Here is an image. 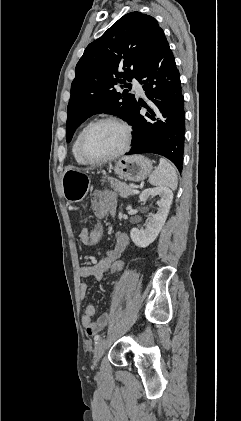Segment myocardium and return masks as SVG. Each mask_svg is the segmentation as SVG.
Returning a JSON list of instances; mask_svg holds the SVG:
<instances>
[{"label": "myocardium", "mask_w": 241, "mask_h": 421, "mask_svg": "<svg viewBox=\"0 0 241 421\" xmlns=\"http://www.w3.org/2000/svg\"><path fill=\"white\" fill-rule=\"evenodd\" d=\"M103 123H113L118 125L119 127H121L123 129L124 132V142L122 144V146L120 147V149H118L116 152L107 155L105 157L102 158H92L90 157L86 151H85V140L86 137L88 135V133L96 126L103 124ZM131 139H132V130L131 127L122 119H119L117 117H113V116H106V117H102L99 119L94 120L93 122L89 123L82 131L80 138H79V143H78V150H79V154L82 157V159L87 162L88 164H103L109 161H112L120 156H122L123 154H125L131 144Z\"/></svg>", "instance_id": "obj_1"}]
</instances>
